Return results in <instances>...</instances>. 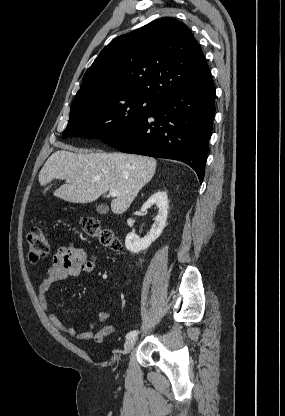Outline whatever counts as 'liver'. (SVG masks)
<instances>
[{"instance_id": "liver-1", "label": "liver", "mask_w": 285, "mask_h": 416, "mask_svg": "<svg viewBox=\"0 0 285 416\" xmlns=\"http://www.w3.org/2000/svg\"><path fill=\"white\" fill-rule=\"evenodd\" d=\"M55 146L62 150L48 158L38 180L40 186H47L52 180H66L54 192V196L65 202L90 204L108 190H117L119 196L112 200L111 210L113 214H124L156 172V160L147 156L88 154L87 150H76L78 154H73V146L62 142Z\"/></svg>"}]
</instances>
